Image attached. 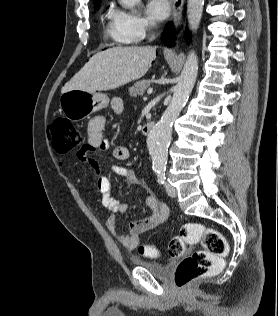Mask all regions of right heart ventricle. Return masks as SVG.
<instances>
[{
	"instance_id": "e07e8e85",
	"label": "right heart ventricle",
	"mask_w": 278,
	"mask_h": 316,
	"mask_svg": "<svg viewBox=\"0 0 278 316\" xmlns=\"http://www.w3.org/2000/svg\"><path fill=\"white\" fill-rule=\"evenodd\" d=\"M105 33L110 39H112L116 43H120V44L126 43L119 37L117 33V30L112 18V12L109 13V19L107 23L105 24Z\"/></svg>"
}]
</instances>
